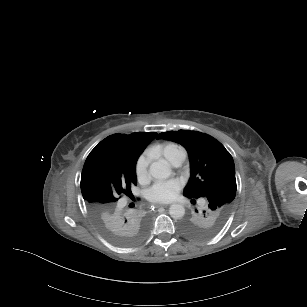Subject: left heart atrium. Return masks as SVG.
<instances>
[{
	"label": "left heart atrium",
	"mask_w": 307,
	"mask_h": 307,
	"mask_svg": "<svg viewBox=\"0 0 307 307\" xmlns=\"http://www.w3.org/2000/svg\"><path fill=\"white\" fill-rule=\"evenodd\" d=\"M178 192V187L173 181L157 182L147 190V196L153 202H168Z\"/></svg>",
	"instance_id": "left-heart-atrium-1"
}]
</instances>
